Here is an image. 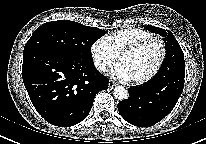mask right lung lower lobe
Listing matches in <instances>:
<instances>
[{
	"label": "right lung lower lobe",
	"mask_w": 206,
	"mask_h": 144,
	"mask_svg": "<svg viewBox=\"0 0 206 144\" xmlns=\"http://www.w3.org/2000/svg\"><path fill=\"white\" fill-rule=\"evenodd\" d=\"M22 77L37 112L59 127L83 121L95 95L108 89V78L95 69L93 61L51 52L23 55Z\"/></svg>",
	"instance_id": "1"
}]
</instances>
